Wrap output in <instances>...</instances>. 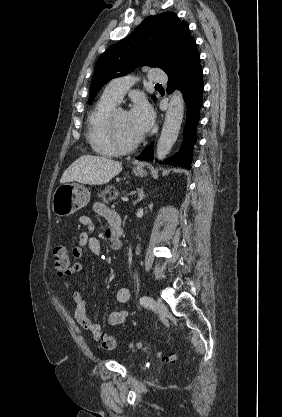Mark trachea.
<instances>
[{
  "mask_svg": "<svg viewBox=\"0 0 282 417\" xmlns=\"http://www.w3.org/2000/svg\"><path fill=\"white\" fill-rule=\"evenodd\" d=\"M156 86H161V84L159 83V84H156Z\"/></svg>",
  "mask_w": 282,
  "mask_h": 417,
  "instance_id": "3493384b",
  "label": "trachea"
}]
</instances>
